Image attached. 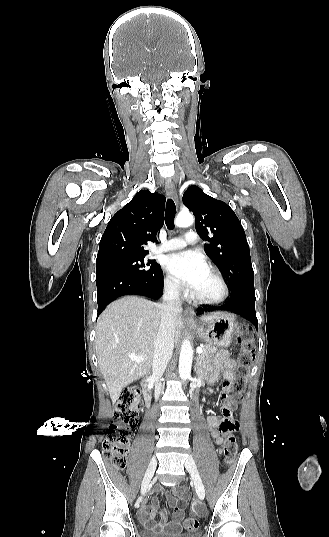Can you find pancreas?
I'll return each mask as SVG.
<instances>
[{"label": "pancreas", "mask_w": 329, "mask_h": 537, "mask_svg": "<svg viewBox=\"0 0 329 537\" xmlns=\"http://www.w3.org/2000/svg\"><path fill=\"white\" fill-rule=\"evenodd\" d=\"M217 351V347L213 346V345H205L203 347V352L201 354H199L197 360L198 362H205V361H208L210 359V357L212 355H214V353Z\"/></svg>", "instance_id": "pancreas-1"}]
</instances>
